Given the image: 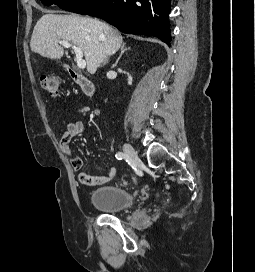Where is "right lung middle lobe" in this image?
<instances>
[{
  "label": "right lung middle lobe",
  "instance_id": "right-lung-middle-lobe-1",
  "mask_svg": "<svg viewBox=\"0 0 255 272\" xmlns=\"http://www.w3.org/2000/svg\"><path fill=\"white\" fill-rule=\"evenodd\" d=\"M45 5L56 4L60 8L86 15L100 0H41Z\"/></svg>",
  "mask_w": 255,
  "mask_h": 272
}]
</instances>
